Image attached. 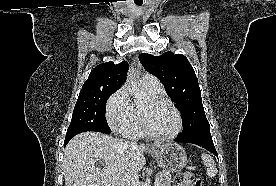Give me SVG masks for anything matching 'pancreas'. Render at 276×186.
<instances>
[{"instance_id": "1", "label": "pancreas", "mask_w": 276, "mask_h": 186, "mask_svg": "<svg viewBox=\"0 0 276 186\" xmlns=\"http://www.w3.org/2000/svg\"><path fill=\"white\" fill-rule=\"evenodd\" d=\"M156 177L159 181L158 186H171V174L169 172H159Z\"/></svg>"}]
</instances>
